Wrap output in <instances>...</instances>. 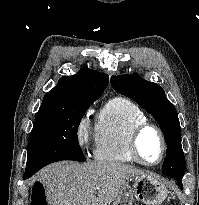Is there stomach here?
<instances>
[{
	"instance_id": "0dacf381",
	"label": "stomach",
	"mask_w": 199,
	"mask_h": 205,
	"mask_svg": "<svg viewBox=\"0 0 199 205\" xmlns=\"http://www.w3.org/2000/svg\"><path fill=\"white\" fill-rule=\"evenodd\" d=\"M168 190L157 178L142 174L128 179L112 205H133L135 200L146 205H161Z\"/></svg>"
}]
</instances>
